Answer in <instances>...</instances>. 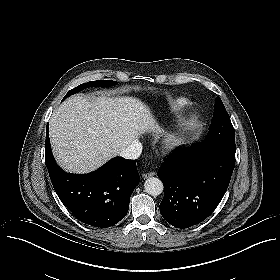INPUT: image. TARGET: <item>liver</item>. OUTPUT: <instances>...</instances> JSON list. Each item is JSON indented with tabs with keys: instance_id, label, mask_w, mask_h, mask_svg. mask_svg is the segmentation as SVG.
<instances>
[{
	"instance_id": "liver-1",
	"label": "liver",
	"mask_w": 280,
	"mask_h": 280,
	"mask_svg": "<svg viewBox=\"0 0 280 280\" xmlns=\"http://www.w3.org/2000/svg\"><path fill=\"white\" fill-rule=\"evenodd\" d=\"M49 131L60 167L84 174L104 165L142 134H159L162 129L136 98L77 95L53 112Z\"/></svg>"
}]
</instances>
